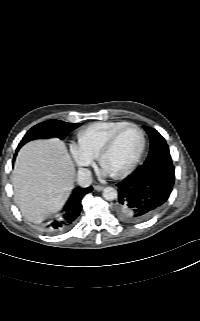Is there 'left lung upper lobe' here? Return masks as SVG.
<instances>
[{"label":"left lung upper lobe","instance_id":"1","mask_svg":"<svg viewBox=\"0 0 200 321\" xmlns=\"http://www.w3.org/2000/svg\"><path fill=\"white\" fill-rule=\"evenodd\" d=\"M143 127L150 137V152L144 164L172 163L165 139L157 130L147 126Z\"/></svg>","mask_w":200,"mask_h":321}]
</instances>
